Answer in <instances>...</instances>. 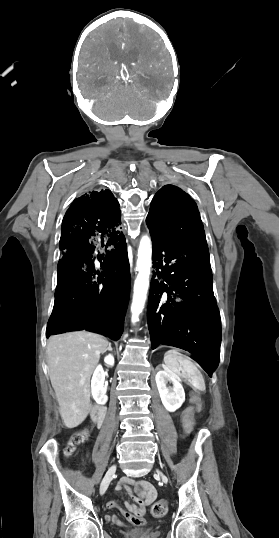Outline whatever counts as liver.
<instances>
[{"label": "liver", "instance_id": "liver-1", "mask_svg": "<svg viewBox=\"0 0 279 538\" xmlns=\"http://www.w3.org/2000/svg\"><path fill=\"white\" fill-rule=\"evenodd\" d=\"M109 342L91 332H68L49 338L47 362L52 388L66 428H77L90 408V378Z\"/></svg>", "mask_w": 279, "mask_h": 538}]
</instances>
